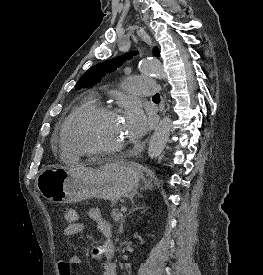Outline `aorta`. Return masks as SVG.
Returning <instances> with one entry per match:
<instances>
[{"label": "aorta", "instance_id": "1", "mask_svg": "<svg viewBox=\"0 0 263 275\" xmlns=\"http://www.w3.org/2000/svg\"><path fill=\"white\" fill-rule=\"evenodd\" d=\"M140 70L143 73H147L158 78L165 77L163 66L157 59L143 60L140 64ZM171 128L172 122L169 116H165L158 123L153 135L150 138L148 146V156L151 159L157 158L163 152L168 142Z\"/></svg>", "mask_w": 263, "mask_h": 275}]
</instances>
